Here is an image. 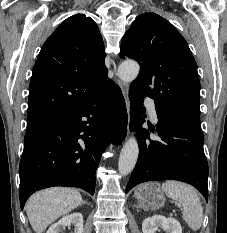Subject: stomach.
<instances>
[{
  "mask_svg": "<svg viewBox=\"0 0 227 233\" xmlns=\"http://www.w3.org/2000/svg\"><path fill=\"white\" fill-rule=\"evenodd\" d=\"M135 197L144 210H157L164 206L165 196L158 184L151 183L139 187Z\"/></svg>",
  "mask_w": 227,
  "mask_h": 233,
  "instance_id": "1",
  "label": "stomach"
}]
</instances>
